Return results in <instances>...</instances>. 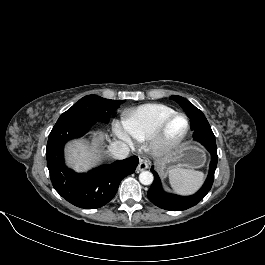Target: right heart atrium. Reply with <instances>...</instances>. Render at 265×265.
<instances>
[{
    "mask_svg": "<svg viewBox=\"0 0 265 265\" xmlns=\"http://www.w3.org/2000/svg\"><path fill=\"white\" fill-rule=\"evenodd\" d=\"M114 134L127 143L128 145L132 146L134 144V138L128 129L125 127L123 121L114 120L112 124Z\"/></svg>",
    "mask_w": 265,
    "mask_h": 265,
    "instance_id": "obj_1",
    "label": "right heart atrium"
}]
</instances>
